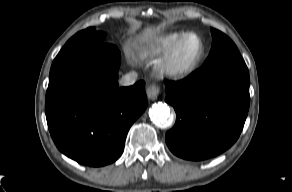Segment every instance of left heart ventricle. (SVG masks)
<instances>
[{
    "label": "left heart ventricle",
    "instance_id": "obj_1",
    "mask_svg": "<svg viewBox=\"0 0 292 192\" xmlns=\"http://www.w3.org/2000/svg\"><path fill=\"white\" fill-rule=\"evenodd\" d=\"M200 50V42L196 37L188 38L180 51L179 61L182 64H187L198 54Z\"/></svg>",
    "mask_w": 292,
    "mask_h": 192
}]
</instances>
